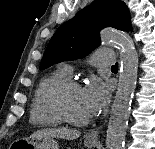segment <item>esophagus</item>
Segmentation results:
<instances>
[{"label":"esophagus","mask_w":155,"mask_h":149,"mask_svg":"<svg viewBox=\"0 0 155 149\" xmlns=\"http://www.w3.org/2000/svg\"><path fill=\"white\" fill-rule=\"evenodd\" d=\"M87 140L88 141H92V142H98L99 141V136L97 133H90L88 136H87Z\"/></svg>","instance_id":"34e87169"}]
</instances>
